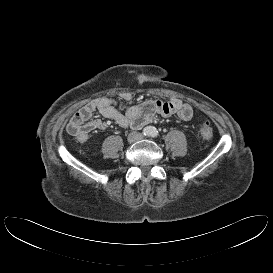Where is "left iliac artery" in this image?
<instances>
[{
    "label": "left iliac artery",
    "mask_w": 273,
    "mask_h": 273,
    "mask_svg": "<svg viewBox=\"0 0 273 273\" xmlns=\"http://www.w3.org/2000/svg\"><path fill=\"white\" fill-rule=\"evenodd\" d=\"M151 136H152L153 138H156V137L158 136V131H157L156 129H152V131H151Z\"/></svg>",
    "instance_id": "left-iliac-artery-1"
}]
</instances>
